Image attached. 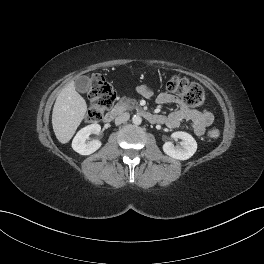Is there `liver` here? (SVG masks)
Listing matches in <instances>:
<instances>
[{
  "instance_id": "obj_1",
  "label": "liver",
  "mask_w": 264,
  "mask_h": 264,
  "mask_svg": "<svg viewBox=\"0 0 264 264\" xmlns=\"http://www.w3.org/2000/svg\"><path fill=\"white\" fill-rule=\"evenodd\" d=\"M86 111L85 99L76 91L74 82H69L58 94L52 112L53 130L60 143L70 141Z\"/></svg>"
}]
</instances>
